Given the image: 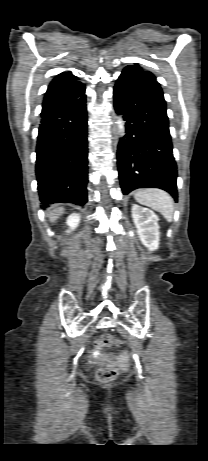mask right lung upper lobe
Segmentation results:
<instances>
[{"label": "right lung upper lobe", "instance_id": "cb5924a9", "mask_svg": "<svg viewBox=\"0 0 208 461\" xmlns=\"http://www.w3.org/2000/svg\"><path fill=\"white\" fill-rule=\"evenodd\" d=\"M85 86L78 81L71 71L62 72L50 82L45 93L42 109L69 102L80 97Z\"/></svg>", "mask_w": 208, "mask_h": 461}]
</instances>
